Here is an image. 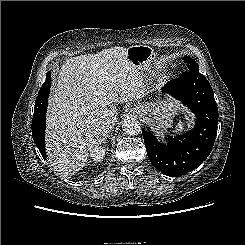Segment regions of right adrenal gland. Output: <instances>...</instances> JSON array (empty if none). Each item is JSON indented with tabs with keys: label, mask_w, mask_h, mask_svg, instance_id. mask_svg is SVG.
<instances>
[{
	"label": "right adrenal gland",
	"mask_w": 245,
	"mask_h": 245,
	"mask_svg": "<svg viewBox=\"0 0 245 245\" xmlns=\"http://www.w3.org/2000/svg\"><path fill=\"white\" fill-rule=\"evenodd\" d=\"M107 138H108L109 140H111V131L108 132V135H107V137L105 138V142H106Z\"/></svg>",
	"instance_id": "2a0ac1e0"
}]
</instances>
